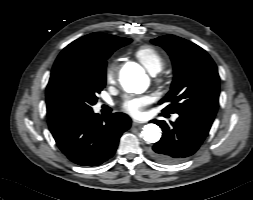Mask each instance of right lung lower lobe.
Wrapping results in <instances>:
<instances>
[{"instance_id": "right-lung-lower-lobe-1", "label": "right lung lower lobe", "mask_w": 253, "mask_h": 200, "mask_svg": "<svg viewBox=\"0 0 253 200\" xmlns=\"http://www.w3.org/2000/svg\"><path fill=\"white\" fill-rule=\"evenodd\" d=\"M59 149L81 166H98L111 158L131 119L123 113L104 118L93 111L48 118Z\"/></svg>"}]
</instances>
